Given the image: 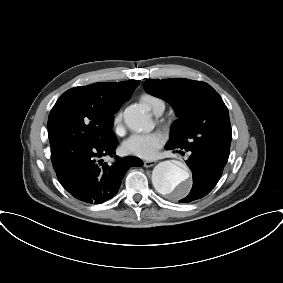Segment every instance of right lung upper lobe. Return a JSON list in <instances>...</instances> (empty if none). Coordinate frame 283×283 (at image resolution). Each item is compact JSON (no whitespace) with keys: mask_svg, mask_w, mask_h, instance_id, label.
I'll use <instances>...</instances> for the list:
<instances>
[{"mask_svg":"<svg viewBox=\"0 0 283 283\" xmlns=\"http://www.w3.org/2000/svg\"><path fill=\"white\" fill-rule=\"evenodd\" d=\"M139 85L138 80L95 83L75 89L83 99L103 114L115 113Z\"/></svg>","mask_w":283,"mask_h":283,"instance_id":"1","label":"right lung upper lobe"}]
</instances>
